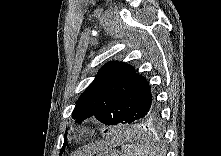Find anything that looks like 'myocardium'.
I'll use <instances>...</instances> for the list:
<instances>
[{"instance_id":"obj_1","label":"myocardium","mask_w":221,"mask_h":156,"mask_svg":"<svg viewBox=\"0 0 221 156\" xmlns=\"http://www.w3.org/2000/svg\"><path fill=\"white\" fill-rule=\"evenodd\" d=\"M90 126L89 125H82L81 127H79L78 132L81 135L87 134L90 131Z\"/></svg>"}]
</instances>
